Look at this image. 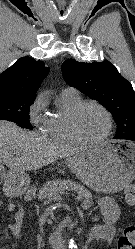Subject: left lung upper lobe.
<instances>
[{
	"instance_id": "1",
	"label": "left lung upper lobe",
	"mask_w": 135,
	"mask_h": 249,
	"mask_svg": "<svg viewBox=\"0 0 135 249\" xmlns=\"http://www.w3.org/2000/svg\"><path fill=\"white\" fill-rule=\"evenodd\" d=\"M66 83L91 99L99 101L114 117V138L135 136V93L109 61L84 63L68 59L62 64Z\"/></svg>"
}]
</instances>
